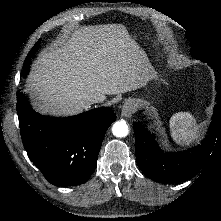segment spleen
I'll list each match as a JSON object with an SVG mask.
<instances>
[{"label": "spleen", "instance_id": "1", "mask_svg": "<svg viewBox=\"0 0 221 221\" xmlns=\"http://www.w3.org/2000/svg\"><path fill=\"white\" fill-rule=\"evenodd\" d=\"M170 131L172 139L178 143H189L196 135L195 118L189 112H178L170 120Z\"/></svg>", "mask_w": 221, "mask_h": 221}]
</instances>
